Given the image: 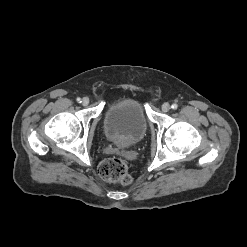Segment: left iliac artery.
I'll list each match as a JSON object with an SVG mask.
<instances>
[{
	"label": "left iliac artery",
	"instance_id": "obj_1",
	"mask_svg": "<svg viewBox=\"0 0 247 247\" xmlns=\"http://www.w3.org/2000/svg\"><path fill=\"white\" fill-rule=\"evenodd\" d=\"M171 108L176 110L178 108V105L176 103H174V104H172Z\"/></svg>",
	"mask_w": 247,
	"mask_h": 247
}]
</instances>
